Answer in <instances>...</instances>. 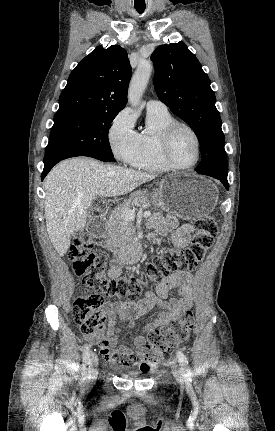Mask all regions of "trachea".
<instances>
[{
	"mask_svg": "<svg viewBox=\"0 0 275 431\" xmlns=\"http://www.w3.org/2000/svg\"><path fill=\"white\" fill-rule=\"evenodd\" d=\"M136 10L139 14H142L145 10V7H136Z\"/></svg>",
	"mask_w": 275,
	"mask_h": 431,
	"instance_id": "trachea-1",
	"label": "trachea"
}]
</instances>
